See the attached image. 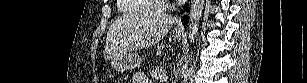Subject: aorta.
<instances>
[{
  "label": "aorta",
  "instance_id": "762f6f07",
  "mask_svg": "<svg viewBox=\"0 0 307 83\" xmlns=\"http://www.w3.org/2000/svg\"><path fill=\"white\" fill-rule=\"evenodd\" d=\"M204 3L205 0H191L190 13H189L190 24L188 32V38L191 44L195 42V38L199 31V25H200V20L202 18ZM188 65H189V60H185L181 68L182 76H185Z\"/></svg>",
  "mask_w": 307,
  "mask_h": 83
}]
</instances>
